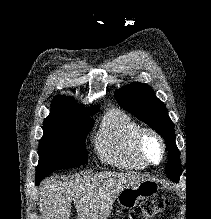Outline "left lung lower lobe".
Wrapping results in <instances>:
<instances>
[{"instance_id": "1", "label": "left lung lower lobe", "mask_w": 211, "mask_h": 219, "mask_svg": "<svg viewBox=\"0 0 211 219\" xmlns=\"http://www.w3.org/2000/svg\"><path fill=\"white\" fill-rule=\"evenodd\" d=\"M180 161V153L176 151H169L168 153V162L170 164H175Z\"/></svg>"}]
</instances>
